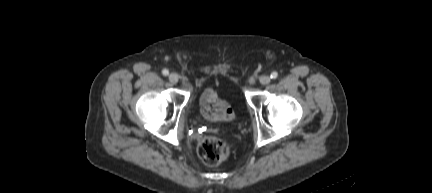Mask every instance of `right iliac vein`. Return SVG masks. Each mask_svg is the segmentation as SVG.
I'll return each instance as SVG.
<instances>
[{
	"label": "right iliac vein",
	"mask_w": 432,
	"mask_h": 193,
	"mask_svg": "<svg viewBox=\"0 0 432 193\" xmlns=\"http://www.w3.org/2000/svg\"><path fill=\"white\" fill-rule=\"evenodd\" d=\"M168 79H169V81H170L172 84H176V83L178 82V80H179V77H178V75H177L176 73H171V74L168 76Z\"/></svg>",
	"instance_id": "obj_1"
}]
</instances>
